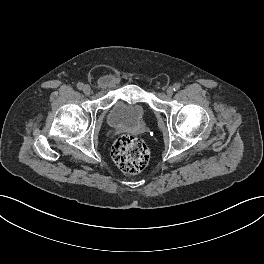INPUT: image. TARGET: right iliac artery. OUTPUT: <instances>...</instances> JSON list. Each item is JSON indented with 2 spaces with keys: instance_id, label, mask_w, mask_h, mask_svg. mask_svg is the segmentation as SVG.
<instances>
[{
  "instance_id": "82829eb1",
  "label": "right iliac artery",
  "mask_w": 264,
  "mask_h": 264,
  "mask_svg": "<svg viewBox=\"0 0 264 264\" xmlns=\"http://www.w3.org/2000/svg\"><path fill=\"white\" fill-rule=\"evenodd\" d=\"M77 88H78L79 90L83 89V88H84V84H83V83H78V84H77Z\"/></svg>"
}]
</instances>
